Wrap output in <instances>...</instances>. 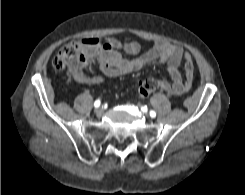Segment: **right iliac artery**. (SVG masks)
Returning a JSON list of instances; mask_svg holds the SVG:
<instances>
[{
	"label": "right iliac artery",
	"mask_w": 245,
	"mask_h": 195,
	"mask_svg": "<svg viewBox=\"0 0 245 195\" xmlns=\"http://www.w3.org/2000/svg\"><path fill=\"white\" fill-rule=\"evenodd\" d=\"M100 104H101L100 100H96V101L94 102V107L97 108V107L100 106Z\"/></svg>",
	"instance_id": "82829eb1"
}]
</instances>
